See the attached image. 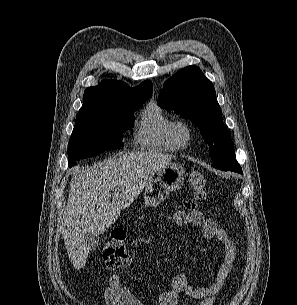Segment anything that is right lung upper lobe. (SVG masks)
<instances>
[{
  "instance_id": "right-lung-upper-lobe-1",
  "label": "right lung upper lobe",
  "mask_w": 297,
  "mask_h": 305,
  "mask_svg": "<svg viewBox=\"0 0 297 305\" xmlns=\"http://www.w3.org/2000/svg\"><path fill=\"white\" fill-rule=\"evenodd\" d=\"M151 93L152 83L149 80L136 88H130L121 81L104 80L98 86L86 88L81 109L103 108L124 101L149 99Z\"/></svg>"
}]
</instances>
